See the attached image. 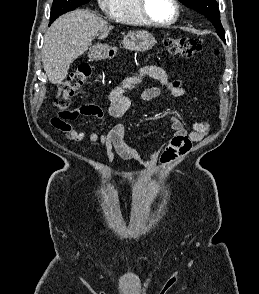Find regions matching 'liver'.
I'll list each match as a JSON object with an SVG mask.
<instances>
[{"label": "liver", "mask_w": 259, "mask_h": 294, "mask_svg": "<svg viewBox=\"0 0 259 294\" xmlns=\"http://www.w3.org/2000/svg\"><path fill=\"white\" fill-rule=\"evenodd\" d=\"M112 26L90 10H75L60 16L44 35L43 68L52 84L61 83L71 63L86 52L93 39L108 36Z\"/></svg>", "instance_id": "obj_1"}]
</instances>
